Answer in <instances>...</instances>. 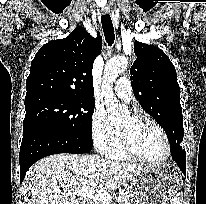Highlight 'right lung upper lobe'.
Masks as SVG:
<instances>
[{"instance_id":"1","label":"right lung upper lobe","mask_w":206,"mask_h":204,"mask_svg":"<svg viewBox=\"0 0 206 204\" xmlns=\"http://www.w3.org/2000/svg\"><path fill=\"white\" fill-rule=\"evenodd\" d=\"M97 35L77 27L68 37L43 45L31 63L25 99L57 95L94 100L92 68L102 48Z\"/></svg>"}]
</instances>
